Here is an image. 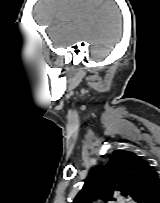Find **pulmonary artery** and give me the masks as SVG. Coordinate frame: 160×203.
<instances>
[{
  "label": "pulmonary artery",
  "mask_w": 160,
  "mask_h": 203,
  "mask_svg": "<svg viewBox=\"0 0 160 203\" xmlns=\"http://www.w3.org/2000/svg\"><path fill=\"white\" fill-rule=\"evenodd\" d=\"M126 203H133L132 201H125Z\"/></svg>",
  "instance_id": "1"
}]
</instances>
